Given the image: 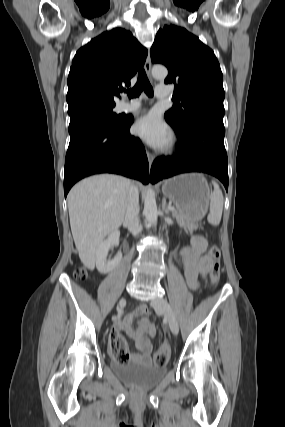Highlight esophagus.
<instances>
[{"instance_id": "esophagus-1", "label": "esophagus", "mask_w": 285, "mask_h": 427, "mask_svg": "<svg viewBox=\"0 0 285 427\" xmlns=\"http://www.w3.org/2000/svg\"><path fill=\"white\" fill-rule=\"evenodd\" d=\"M144 68H145L147 75L152 80V77H151V58H150L149 54L147 55ZM146 154H147V158H148V162H149V167L151 168L153 161H154V155L149 151H147Z\"/></svg>"}]
</instances>
